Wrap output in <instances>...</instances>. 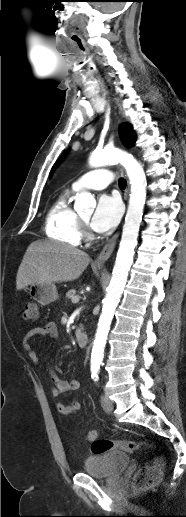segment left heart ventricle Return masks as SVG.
Segmentation results:
<instances>
[{
	"instance_id": "1",
	"label": "left heart ventricle",
	"mask_w": 186,
	"mask_h": 517,
	"mask_svg": "<svg viewBox=\"0 0 186 517\" xmlns=\"http://www.w3.org/2000/svg\"><path fill=\"white\" fill-rule=\"evenodd\" d=\"M83 218H84L85 220H87V219H89V215H85V216H83Z\"/></svg>"
}]
</instances>
